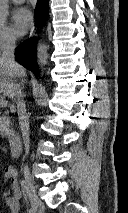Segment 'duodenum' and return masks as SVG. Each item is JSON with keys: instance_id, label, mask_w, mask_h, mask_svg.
Segmentation results:
<instances>
[{"instance_id": "obj_1", "label": "duodenum", "mask_w": 128, "mask_h": 213, "mask_svg": "<svg viewBox=\"0 0 128 213\" xmlns=\"http://www.w3.org/2000/svg\"><path fill=\"white\" fill-rule=\"evenodd\" d=\"M9 145H10V153L11 155L17 156L22 148L21 136L18 132L14 131L9 134Z\"/></svg>"}]
</instances>
